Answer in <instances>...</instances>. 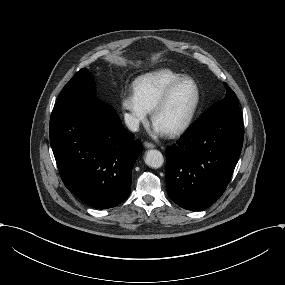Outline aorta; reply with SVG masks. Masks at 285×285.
Here are the masks:
<instances>
[{
    "label": "aorta",
    "mask_w": 285,
    "mask_h": 285,
    "mask_svg": "<svg viewBox=\"0 0 285 285\" xmlns=\"http://www.w3.org/2000/svg\"><path fill=\"white\" fill-rule=\"evenodd\" d=\"M145 163L152 168H160L164 163L163 155L158 150H148L146 152Z\"/></svg>",
    "instance_id": "obj_1"
}]
</instances>
